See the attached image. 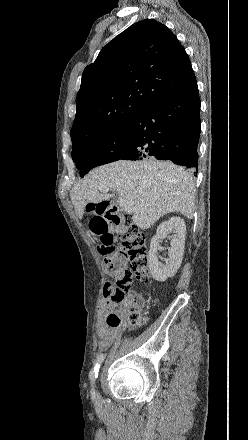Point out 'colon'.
Instances as JSON below:
<instances>
[{
  "label": "colon",
  "instance_id": "obj_1",
  "mask_svg": "<svg viewBox=\"0 0 248 440\" xmlns=\"http://www.w3.org/2000/svg\"><path fill=\"white\" fill-rule=\"evenodd\" d=\"M102 214L97 218H110L112 228L120 239L118 245L113 241H102L99 247L104 257L105 272L116 278L113 282H106L103 287L104 304L113 308L123 307L131 325H143L146 322V317L140 311L143 300L129 291L133 277L142 283L150 280L144 236L132 224L130 216L119 213L114 205L110 208L103 206ZM120 320L121 317L115 312L106 316V323L110 327L118 326Z\"/></svg>",
  "mask_w": 248,
  "mask_h": 440
}]
</instances>
